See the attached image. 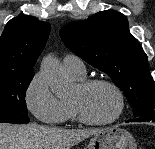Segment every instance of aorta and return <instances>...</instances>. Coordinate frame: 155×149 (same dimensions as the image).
I'll list each match as a JSON object with an SVG mask.
<instances>
[{
	"mask_svg": "<svg viewBox=\"0 0 155 149\" xmlns=\"http://www.w3.org/2000/svg\"><path fill=\"white\" fill-rule=\"evenodd\" d=\"M40 69L57 97H66L71 92L73 83L64 73L56 57L51 54L44 57Z\"/></svg>",
	"mask_w": 155,
	"mask_h": 149,
	"instance_id": "1",
	"label": "aorta"
}]
</instances>
